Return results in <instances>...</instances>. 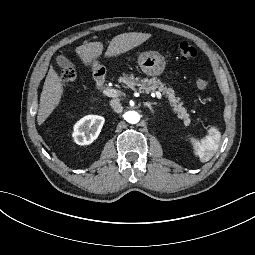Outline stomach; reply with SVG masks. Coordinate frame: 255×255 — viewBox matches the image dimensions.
<instances>
[{
    "mask_svg": "<svg viewBox=\"0 0 255 255\" xmlns=\"http://www.w3.org/2000/svg\"><path fill=\"white\" fill-rule=\"evenodd\" d=\"M139 64L142 71L151 77H159L165 69V60L158 53L142 54L139 59ZM95 71L99 69L98 64L93 65Z\"/></svg>",
    "mask_w": 255,
    "mask_h": 255,
    "instance_id": "0dacf381",
    "label": "stomach"
}]
</instances>
